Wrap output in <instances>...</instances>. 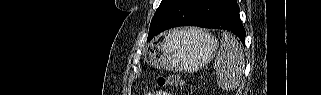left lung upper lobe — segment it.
<instances>
[{
	"mask_svg": "<svg viewBox=\"0 0 321 95\" xmlns=\"http://www.w3.org/2000/svg\"><path fill=\"white\" fill-rule=\"evenodd\" d=\"M173 2H174V0H162L161 1L160 6L156 10V13L154 14V16L152 18L150 29H149V35L157 28L158 24L163 19L164 15L169 10V8L171 7Z\"/></svg>",
	"mask_w": 321,
	"mask_h": 95,
	"instance_id": "left-lung-upper-lobe-1",
	"label": "left lung upper lobe"
}]
</instances>
